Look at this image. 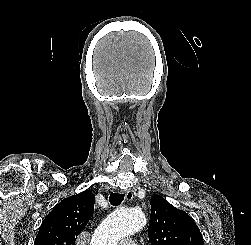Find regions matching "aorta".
<instances>
[{
  "label": "aorta",
  "instance_id": "1",
  "mask_svg": "<svg viewBox=\"0 0 251 245\" xmlns=\"http://www.w3.org/2000/svg\"><path fill=\"white\" fill-rule=\"evenodd\" d=\"M146 216L139 209H119L111 213L95 230L91 245H118V242L140 231Z\"/></svg>",
  "mask_w": 251,
  "mask_h": 245
}]
</instances>
